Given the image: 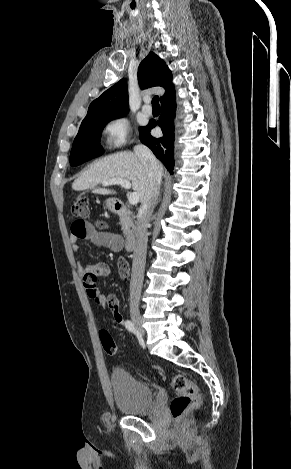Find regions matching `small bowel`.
Here are the masks:
<instances>
[{"mask_svg": "<svg viewBox=\"0 0 291 469\" xmlns=\"http://www.w3.org/2000/svg\"><path fill=\"white\" fill-rule=\"evenodd\" d=\"M70 240L74 253L80 252L78 244L80 240H88L98 247L108 248L114 252L120 251L124 245L123 238L109 230L108 226L101 221L96 223L83 220L74 221L71 226ZM77 266L88 297L92 299L94 296H99L103 299L105 301L104 307L107 306L111 310L114 321L119 325H125L118 298L114 294H101L98 289V280L106 278L110 274L109 265L100 262L92 266H84L78 262Z\"/></svg>", "mask_w": 291, "mask_h": 469, "instance_id": "small-bowel-1", "label": "small bowel"}]
</instances>
